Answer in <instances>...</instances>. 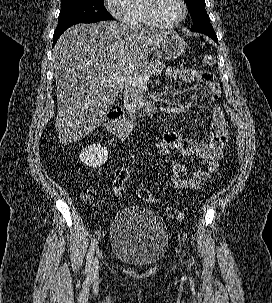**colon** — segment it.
<instances>
[{
    "instance_id": "obj_1",
    "label": "colon",
    "mask_w": 272,
    "mask_h": 303,
    "mask_svg": "<svg viewBox=\"0 0 272 303\" xmlns=\"http://www.w3.org/2000/svg\"><path fill=\"white\" fill-rule=\"evenodd\" d=\"M203 63L207 66H211L215 63V57L212 54L204 55L202 59ZM226 112L232 119L236 127V143L235 152L238 160H241L244 155L245 146V128L242 118L232 108L226 106ZM137 166V161H132L128 165L119 168L114 176L113 191L117 198H121L124 191V185L128 180L132 170ZM92 196L91 190H85L84 197L89 199ZM138 198L146 203H154L155 199L148 189H139L137 191ZM165 213L169 218L183 220L184 213L174 206H166Z\"/></svg>"
}]
</instances>
